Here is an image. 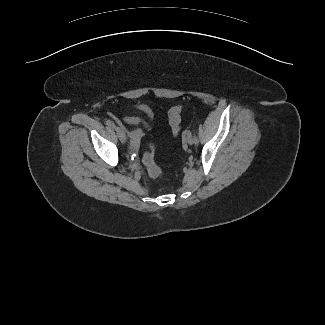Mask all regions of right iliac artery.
Listing matches in <instances>:
<instances>
[{
    "instance_id": "82829eb1",
    "label": "right iliac artery",
    "mask_w": 325,
    "mask_h": 325,
    "mask_svg": "<svg viewBox=\"0 0 325 325\" xmlns=\"http://www.w3.org/2000/svg\"><path fill=\"white\" fill-rule=\"evenodd\" d=\"M106 124L109 127L113 128V129H116V126H115L114 122H112L111 120H106Z\"/></svg>"
}]
</instances>
